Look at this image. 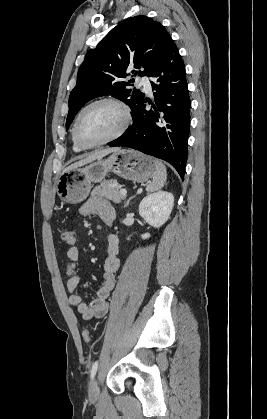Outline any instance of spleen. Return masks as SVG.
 Here are the masks:
<instances>
[{"instance_id":"3e777b00","label":"spleen","mask_w":267,"mask_h":419,"mask_svg":"<svg viewBox=\"0 0 267 419\" xmlns=\"http://www.w3.org/2000/svg\"><path fill=\"white\" fill-rule=\"evenodd\" d=\"M154 163L155 172L153 174L152 182L146 187L147 192L159 191L163 188L167 179V170L165 165L159 160H155Z\"/></svg>"}]
</instances>
